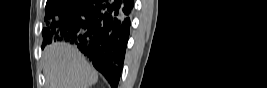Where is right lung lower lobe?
<instances>
[{
    "mask_svg": "<svg viewBox=\"0 0 267 88\" xmlns=\"http://www.w3.org/2000/svg\"><path fill=\"white\" fill-rule=\"evenodd\" d=\"M132 0H75L45 30L75 44L112 87H117L130 34ZM44 46V45H43Z\"/></svg>",
    "mask_w": 267,
    "mask_h": 88,
    "instance_id": "98d812e1",
    "label": "right lung lower lobe"
}]
</instances>
